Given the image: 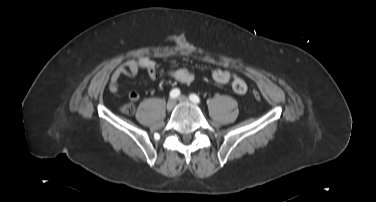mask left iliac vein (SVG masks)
I'll return each mask as SVG.
<instances>
[{"mask_svg":"<svg viewBox=\"0 0 376 202\" xmlns=\"http://www.w3.org/2000/svg\"><path fill=\"white\" fill-rule=\"evenodd\" d=\"M178 101H180V102H189V98L182 95V96H180L178 98Z\"/></svg>","mask_w":376,"mask_h":202,"instance_id":"left-iliac-vein-1","label":"left iliac vein"}]
</instances>
